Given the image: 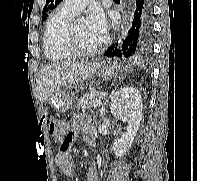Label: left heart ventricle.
<instances>
[{"mask_svg": "<svg viewBox=\"0 0 197 181\" xmlns=\"http://www.w3.org/2000/svg\"><path fill=\"white\" fill-rule=\"evenodd\" d=\"M76 37L78 44L83 49H92L101 42V39L90 30L87 25V21L83 19L77 21Z\"/></svg>", "mask_w": 197, "mask_h": 181, "instance_id": "b2bd125f", "label": "left heart ventricle"}]
</instances>
